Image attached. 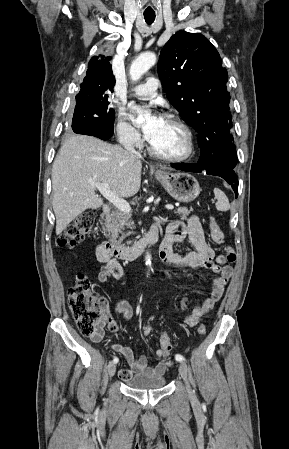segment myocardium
Segmentation results:
<instances>
[{
	"instance_id": "1",
	"label": "myocardium",
	"mask_w": 289,
	"mask_h": 449,
	"mask_svg": "<svg viewBox=\"0 0 289 449\" xmlns=\"http://www.w3.org/2000/svg\"><path fill=\"white\" fill-rule=\"evenodd\" d=\"M163 120H166L167 122L172 123L173 125L178 127L183 132V134L186 138V143H187L186 151L183 154L176 155V156L164 155V154L157 152L152 147L150 142H148L147 148H148L149 153L158 159H161L164 161H169V162H184V161L191 159L195 153V142H194V137H193V134H192L190 128L182 120H180L178 117H176L174 115L166 114L163 116Z\"/></svg>"
}]
</instances>
